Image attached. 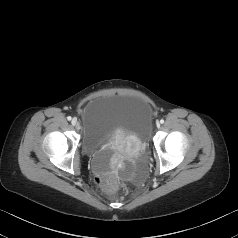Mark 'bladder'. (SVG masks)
<instances>
[{"mask_svg":"<svg viewBox=\"0 0 238 238\" xmlns=\"http://www.w3.org/2000/svg\"><path fill=\"white\" fill-rule=\"evenodd\" d=\"M151 126L152 107L140 96L103 94L87 101L81 112L82 149L94 172L106 174L113 169L112 153L105 146L130 137L144 143Z\"/></svg>","mask_w":238,"mask_h":238,"instance_id":"bladder-1","label":"bladder"}]
</instances>
